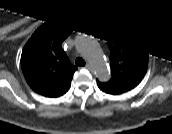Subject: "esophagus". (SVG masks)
Returning a JSON list of instances; mask_svg holds the SVG:
<instances>
[{"instance_id": "obj_1", "label": "esophagus", "mask_w": 172, "mask_h": 134, "mask_svg": "<svg viewBox=\"0 0 172 134\" xmlns=\"http://www.w3.org/2000/svg\"><path fill=\"white\" fill-rule=\"evenodd\" d=\"M85 68H87L88 70H90V69H91V68H90V64L87 63V64L85 65Z\"/></svg>"}]
</instances>
